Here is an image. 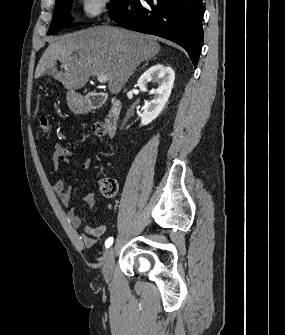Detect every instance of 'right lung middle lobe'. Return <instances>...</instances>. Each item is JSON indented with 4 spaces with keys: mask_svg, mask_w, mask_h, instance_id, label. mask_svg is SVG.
Masks as SVG:
<instances>
[{
    "mask_svg": "<svg viewBox=\"0 0 285 335\" xmlns=\"http://www.w3.org/2000/svg\"><path fill=\"white\" fill-rule=\"evenodd\" d=\"M119 0H111L108 7L111 8ZM73 0H60L54 8V15L47 35H53L59 32L64 26L72 22L70 10Z\"/></svg>",
    "mask_w": 285,
    "mask_h": 335,
    "instance_id": "dd1d6c3e",
    "label": "right lung middle lobe"
}]
</instances>
